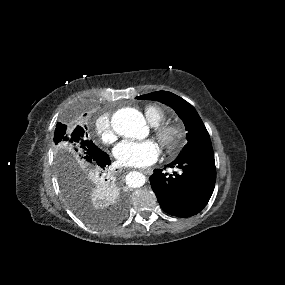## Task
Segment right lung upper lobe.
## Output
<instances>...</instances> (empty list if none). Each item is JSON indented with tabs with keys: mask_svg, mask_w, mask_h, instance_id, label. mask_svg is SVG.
<instances>
[{
	"mask_svg": "<svg viewBox=\"0 0 285 285\" xmlns=\"http://www.w3.org/2000/svg\"><path fill=\"white\" fill-rule=\"evenodd\" d=\"M103 184H104V182L102 181V182H101V185H103Z\"/></svg>",
	"mask_w": 285,
	"mask_h": 285,
	"instance_id": "right-lung-upper-lobe-1",
	"label": "right lung upper lobe"
}]
</instances>
